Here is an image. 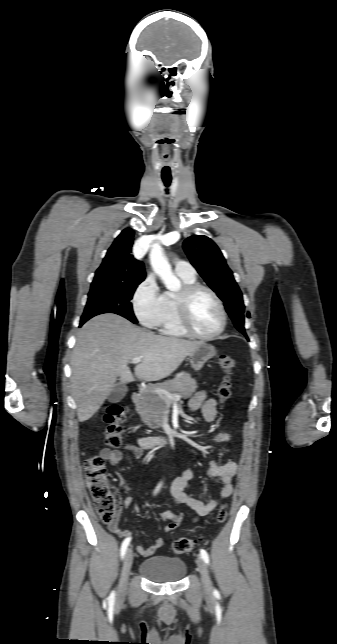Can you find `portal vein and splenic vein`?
Listing matches in <instances>:
<instances>
[{"label":"portal vein and splenic vein","instance_id":"18ae733b","mask_svg":"<svg viewBox=\"0 0 337 644\" xmlns=\"http://www.w3.org/2000/svg\"><path fill=\"white\" fill-rule=\"evenodd\" d=\"M141 360H142V357H135V358H133V359H132V361H131V362H132L133 364H138ZM155 392H157V393L161 394V395H162V396H164L167 400H180V398H181V396H180V395H178V394H171V393H169L168 391H166V390H164V389H160V388L155 389Z\"/></svg>","mask_w":337,"mask_h":644}]
</instances>
